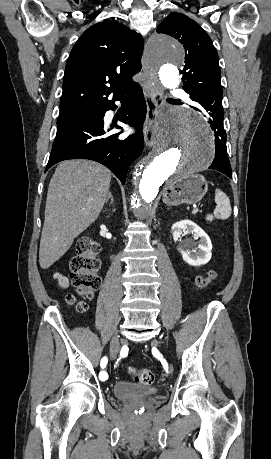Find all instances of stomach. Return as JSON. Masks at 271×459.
<instances>
[{
    "instance_id": "0dacf381",
    "label": "stomach",
    "mask_w": 271,
    "mask_h": 459,
    "mask_svg": "<svg viewBox=\"0 0 271 459\" xmlns=\"http://www.w3.org/2000/svg\"><path fill=\"white\" fill-rule=\"evenodd\" d=\"M208 190V182L200 174H190L181 176L167 182L162 190L163 202L170 206H180V204H197L204 198Z\"/></svg>"
}]
</instances>
